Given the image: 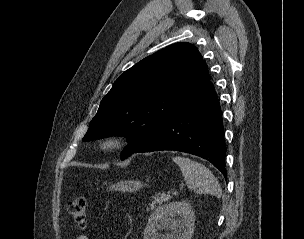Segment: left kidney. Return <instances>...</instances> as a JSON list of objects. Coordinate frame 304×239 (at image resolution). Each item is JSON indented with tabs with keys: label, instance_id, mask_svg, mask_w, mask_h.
<instances>
[{
	"label": "left kidney",
	"instance_id": "5707ae66",
	"mask_svg": "<svg viewBox=\"0 0 304 239\" xmlns=\"http://www.w3.org/2000/svg\"><path fill=\"white\" fill-rule=\"evenodd\" d=\"M159 223L177 234H170L169 239H191L194 232L195 214L186 201L161 206L150 215L144 230V239L164 238L157 232Z\"/></svg>",
	"mask_w": 304,
	"mask_h": 239
}]
</instances>
